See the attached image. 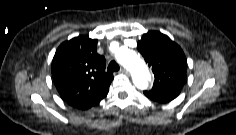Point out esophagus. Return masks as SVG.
I'll list each match as a JSON object with an SVG mask.
<instances>
[{
    "instance_id": "34e87169",
    "label": "esophagus",
    "mask_w": 236,
    "mask_h": 135,
    "mask_svg": "<svg viewBox=\"0 0 236 135\" xmlns=\"http://www.w3.org/2000/svg\"><path fill=\"white\" fill-rule=\"evenodd\" d=\"M120 72H122L124 74H128L129 73V71L126 68H124V67H121Z\"/></svg>"
}]
</instances>
